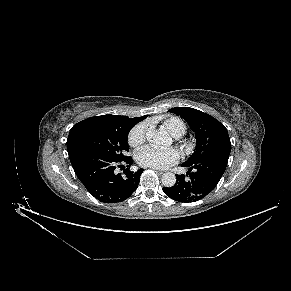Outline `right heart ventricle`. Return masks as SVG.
I'll return each instance as SVG.
<instances>
[{
	"label": "right heart ventricle",
	"instance_id": "1",
	"mask_svg": "<svg viewBox=\"0 0 291 291\" xmlns=\"http://www.w3.org/2000/svg\"><path fill=\"white\" fill-rule=\"evenodd\" d=\"M163 126L176 137L182 136L187 129L186 123L178 117H168L164 119Z\"/></svg>",
	"mask_w": 291,
	"mask_h": 291
}]
</instances>
